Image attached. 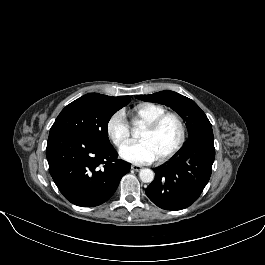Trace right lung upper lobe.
Masks as SVG:
<instances>
[{
    "label": "right lung upper lobe",
    "mask_w": 265,
    "mask_h": 265,
    "mask_svg": "<svg viewBox=\"0 0 265 265\" xmlns=\"http://www.w3.org/2000/svg\"><path fill=\"white\" fill-rule=\"evenodd\" d=\"M84 97L95 99V100H98L102 103L109 104V105H118V104H122L127 101H130L129 96L111 97V96L98 94V93H89V94L84 95Z\"/></svg>",
    "instance_id": "1"
}]
</instances>
